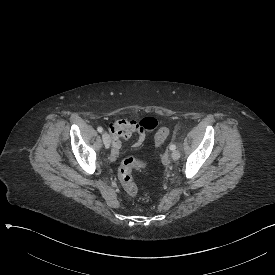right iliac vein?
<instances>
[{"instance_id": "63e3f726", "label": "right iliac vein", "mask_w": 275, "mask_h": 275, "mask_svg": "<svg viewBox=\"0 0 275 275\" xmlns=\"http://www.w3.org/2000/svg\"><path fill=\"white\" fill-rule=\"evenodd\" d=\"M102 139H103V143H104L105 147L109 148L110 143H111V138H110L109 134L106 132H103Z\"/></svg>"}]
</instances>
